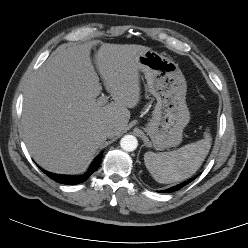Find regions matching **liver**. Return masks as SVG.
Here are the masks:
<instances>
[{
  "label": "liver",
  "instance_id": "1",
  "mask_svg": "<svg viewBox=\"0 0 248 248\" xmlns=\"http://www.w3.org/2000/svg\"><path fill=\"white\" fill-rule=\"evenodd\" d=\"M93 44L62 45L31 77L24 96L21 130L30 155L44 169L78 174L106 141L104 128L121 134L128 108L140 101L139 57L150 50L135 44L102 43L95 63L113 101L100 105L102 86L90 53Z\"/></svg>",
  "mask_w": 248,
  "mask_h": 248
}]
</instances>
